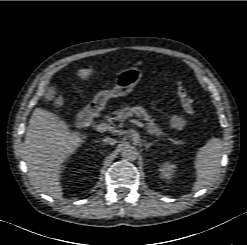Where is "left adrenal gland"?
<instances>
[{"mask_svg": "<svg viewBox=\"0 0 247 245\" xmlns=\"http://www.w3.org/2000/svg\"><path fill=\"white\" fill-rule=\"evenodd\" d=\"M153 144H154V142L144 141V146H145V149L146 150H148Z\"/></svg>", "mask_w": 247, "mask_h": 245, "instance_id": "left-adrenal-gland-1", "label": "left adrenal gland"}]
</instances>
